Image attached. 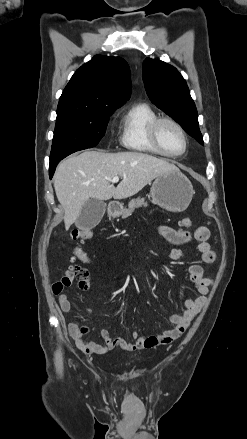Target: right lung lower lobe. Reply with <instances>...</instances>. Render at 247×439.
Listing matches in <instances>:
<instances>
[{"mask_svg": "<svg viewBox=\"0 0 247 439\" xmlns=\"http://www.w3.org/2000/svg\"><path fill=\"white\" fill-rule=\"evenodd\" d=\"M56 166H57V165L50 166V168H49V175H50V178H52V176H53V174H54V172H55V168H56Z\"/></svg>", "mask_w": 247, "mask_h": 439, "instance_id": "obj_1", "label": "right lung lower lobe"}]
</instances>
